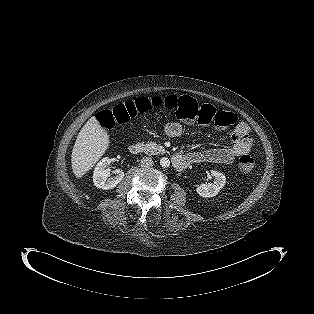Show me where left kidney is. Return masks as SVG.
<instances>
[{"instance_id":"5707ae66","label":"left kidney","mask_w":314,"mask_h":314,"mask_svg":"<svg viewBox=\"0 0 314 314\" xmlns=\"http://www.w3.org/2000/svg\"><path fill=\"white\" fill-rule=\"evenodd\" d=\"M211 175L214 177L213 183L197 185V193L204 198L214 197L218 195L219 191L224 187L226 183L225 176L217 171L211 170Z\"/></svg>"}]
</instances>
